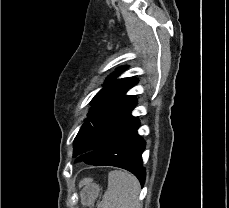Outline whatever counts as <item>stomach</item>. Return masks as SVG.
I'll return each mask as SVG.
<instances>
[{
	"label": "stomach",
	"mask_w": 229,
	"mask_h": 208,
	"mask_svg": "<svg viewBox=\"0 0 229 208\" xmlns=\"http://www.w3.org/2000/svg\"><path fill=\"white\" fill-rule=\"evenodd\" d=\"M100 194V186L92 184V180H87L80 192L82 206H93Z\"/></svg>",
	"instance_id": "obj_1"
}]
</instances>
